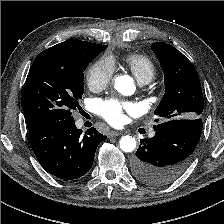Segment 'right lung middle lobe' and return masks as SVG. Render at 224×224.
I'll return each instance as SVG.
<instances>
[{
	"label": "right lung middle lobe",
	"instance_id": "dd1d6c3e",
	"mask_svg": "<svg viewBox=\"0 0 224 224\" xmlns=\"http://www.w3.org/2000/svg\"><path fill=\"white\" fill-rule=\"evenodd\" d=\"M107 45L76 57H36L27 76L22 109L29 128L46 121L72 120L84 92L83 72Z\"/></svg>",
	"mask_w": 224,
	"mask_h": 224
}]
</instances>
